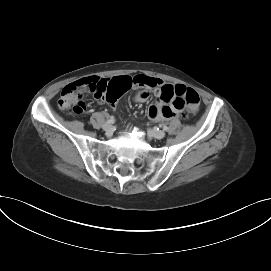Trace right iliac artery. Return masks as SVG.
<instances>
[{"mask_svg": "<svg viewBox=\"0 0 271 271\" xmlns=\"http://www.w3.org/2000/svg\"><path fill=\"white\" fill-rule=\"evenodd\" d=\"M114 122H115V118L114 117H111L110 119H108L106 121V123H109V124L114 123Z\"/></svg>", "mask_w": 271, "mask_h": 271, "instance_id": "82829eb1", "label": "right iliac artery"}]
</instances>
